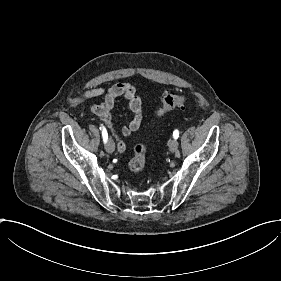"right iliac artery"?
<instances>
[{
  "label": "right iliac artery",
  "mask_w": 281,
  "mask_h": 281,
  "mask_svg": "<svg viewBox=\"0 0 281 281\" xmlns=\"http://www.w3.org/2000/svg\"><path fill=\"white\" fill-rule=\"evenodd\" d=\"M100 129H102V127H100ZM102 136H103V141L106 143L107 139H108V133H107V131L104 127H103V130H102Z\"/></svg>",
  "instance_id": "right-iliac-artery-1"
}]
</instances>
